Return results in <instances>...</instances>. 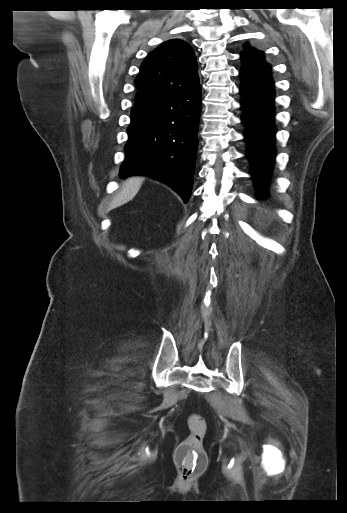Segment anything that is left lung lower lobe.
<instances>
[{
	"instance_id": "0a47b994",
	"label": "left lung lower lobe",
	"mask_w": 347,
	"mask_h": 513,
	"mask_svg": "<svg viewBox=\"0 0 347 513\" xmlns=\"http://www.w3.org/2000/svg\"><path fill=\"white\" fill-rule=\"evenodd\" d=\"M242 62L240 91L242 109L246 112L242 121L248 128L245 133L249 144L247 156L252 163L253 179L265 195L275 158L273 80L270 65L264 59L242 57Z\"/></svg>"
}]
</instances>
